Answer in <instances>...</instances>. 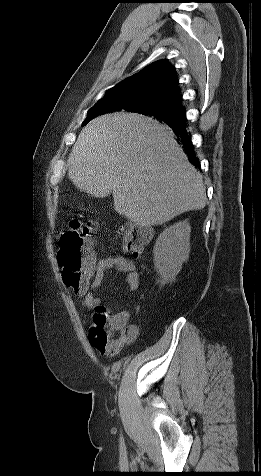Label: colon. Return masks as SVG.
<instances>
[{"mask_svg": "<svg viewBox=\"0 0 261 476\" xmlns=\"http://www.w3.org/2000/svg\"><path fill=\"white\" fill-rule=\"evenodd\" d=\"M94 225L90 221L73 220L71 228L60 239L58 260L62 266L64 283L75 291L85 289L92 276L93 255L89 248V236ZM123 248L138 257L145 243L150 239V231L143 227L125 226ZM89 338L91 344L102 354H112L123 346L125 334L108 325L106 310L101 306L93 314V324Z\"/></svg>", "mask_w": 261, "mask_h": 476, "instance_id": "1", "label": "colon"}]
</instances>
